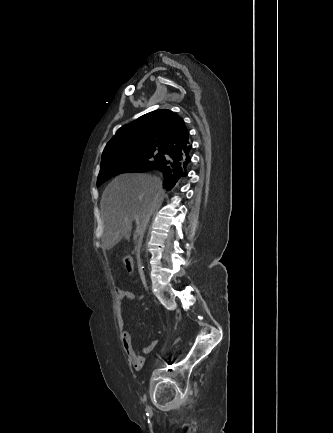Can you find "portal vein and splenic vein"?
<instances>
[{"label":"portal vein and splenic vein","mask_w":333,"mask_h":433,"mask_svg":"<svg viewBox=\"0 0 333 433\" xmlns=\"http://www.w3.org/2000/svg\"><path fill=\"white\" fill-rule=\"evenodd\" d=\"M134 221L136 222L137 225L139 224V219H138L137 216H134ZM135 233H136L137 235H140V236H141V234H142V230L139 228V226H137V229H136Z\"/></svg>","instance_id":"18ae733b"}]
</instances>
